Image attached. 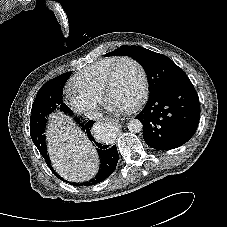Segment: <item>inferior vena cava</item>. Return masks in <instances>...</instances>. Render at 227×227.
<instances>
[{"label":"inferior vena cava","instance_id":"602c4592","mask_svg":"<svg viewBox=\"0 0 227 227\" xmlns=\"http://www.w3.org/2000/svg\"><path fill=\"white\" fill-rule=\"evenodd\" d=\"M85 116L91 120H99L102 117V113L98 110H89L85 113Z\"/></svg>","mask_w":227,"mask_h":227}]
</instances>
